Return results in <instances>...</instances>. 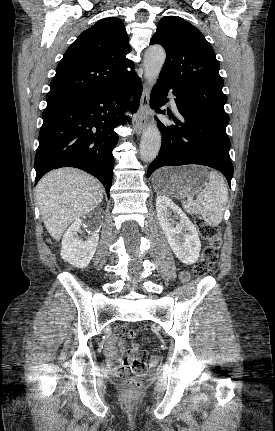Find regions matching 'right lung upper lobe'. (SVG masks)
Listing matches in <instances>:
<instances>
[{"label": "right lung upper lobe", "mask_w": 275, "mask_h": 431, "mask_svg": "<svg viewBox=\"0 0 275 431\" xmlns=\"http://www.w3.org/2000/svg\"><path fill=\"white\" fill-rule=\"evenodd\" d=\"M130 51L120 19L98 21L66 50L50 83L47 103L106 92L126 83L135 76L126 70L134 66L126 58Z\"/></svg>", "instance_id": "cb5924a9"}]
</instances>
